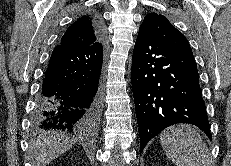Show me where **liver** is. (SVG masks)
<instances>
[{
    "mask_svg": "<svg viewBox=\"0 0 231 166\" xmlns=\"http://www.w3.org/2000/svg\"><path fill=\"white\" fill-rule=\"evenodd\" d=\"M74 141L62 132H46L30 140L36 166H47L70 149Z\"/></svg>",
    "mask_w": 231,
    "mask_h": 166,
    "instance_id": "1",
    "label": "liver"
}]
</instances>
